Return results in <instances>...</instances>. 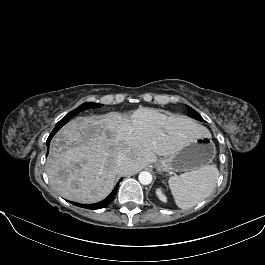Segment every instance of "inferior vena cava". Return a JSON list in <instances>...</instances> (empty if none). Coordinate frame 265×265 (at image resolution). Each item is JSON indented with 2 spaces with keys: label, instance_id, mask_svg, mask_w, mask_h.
Instances as JSON below:
<instances>
[{
  "label": "inferior vena cava",
  "instance_id": "inferior-vena-cava-1",
  "mask_svg": "<svg viewBox=\"0 0 265 265\" xmlns=\"http://www.w3.org/2000/svg\"><path fill=\"white\" fill-rule=\"evenodd\" d=\"M123 159H124L123 156L118 157V167L120 168L124 167Z\"/></svg>",
  "mask_w": 265,
  "mask_h": 265
}]
</instances>
